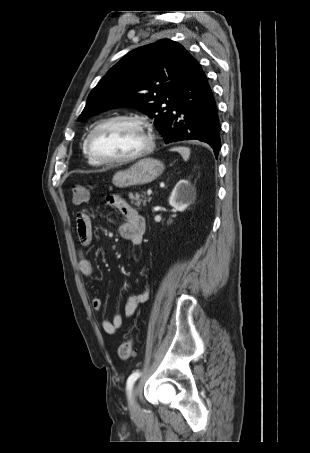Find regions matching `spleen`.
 <instances>
[{"mask_svg": "<svg viewBox=\"0 0 310 453\" xmlns=\"http://www.w3.org/2000/svg\"><path fill=\"white\" fill-rule=\"evenodd\" d=\"M171 150L180 153L185 161H187L189 159V156H190V149L189 148H187V147H175V148H172Z\"/></svg>", "mask_w": 310, "mask_h": 453, "instance_id": "3e777b00", "label": "spleen"}]
</instances>
